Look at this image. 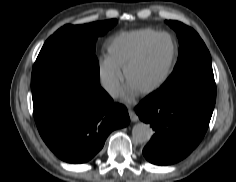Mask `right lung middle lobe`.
I'll return each instance as SVG.
<instances>
[{"label":"right lung middle lobe","mask_w":236,"mask_h":182,"mask_svg":"<svg viewBox=\"0 0 236 182\" xmlns=\"http://www.w3.org/2000/svg\"><path fill=\"white\" fill-rule=\"evenodd\" d=\"M117 23L116 19L85 25H65L43 45L32 70L31 90L61 81L84 84L100 92L95 40ZM99 97V96H98Z\"/></svg>","instance_id":"right-lung-middle-lobe-1"}]
</instances>
